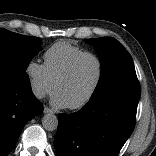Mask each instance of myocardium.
Masks as SVG:
<instances>
[{
    "instance_id": "myocardium-1",
    "label": "myocardium",
    "mask_w": 156,
    "mask_h": 156,
    "mask_svg": "<svg viewBox=\"0 0 156 156\" xmlns=\"http://www.w3.org/2000/svg\"><path fill=\"white\" fill-rule=\"evenodd\" d=\"M85 57H92L98 63V67H99L98 77H97V80L95 82V85L93 86V88L91 89L89 94L83 100H81L79 103H76L74 105L68 106V108L71 109V110H78V109H81V108L85 107L86 105H88L93 100V98L95 97L97 92L99 91V89L101 87V84H102V81H103V77H104V62H103L102 58L98 54H96L94 52L85 51V52L77 55L69 63V65L67 66L65 71L55 81L54 90L56 91L58 86L71 76V74L73 73V71H74L76 65L78 64V62L81 59L85 58Z\"/></svg>"
}]
</instances>
